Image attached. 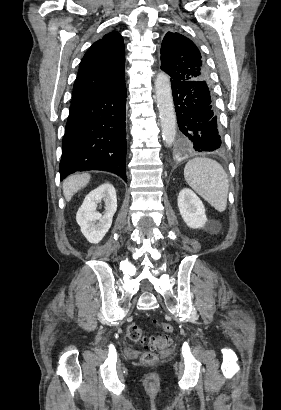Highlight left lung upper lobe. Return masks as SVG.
Here are the masks:
<instances>
[{
	"label": "left lung upper lobe",
	"mask_w": 281,
	"mask_h": 410,
	"mask_svg": "<svg viewBox=\"0 0 281 410\" xmlns=\"http://www.w3.org/2000/svg\"><path fill=\"white\" fill-rule=\"evenodd\" d=\"M161 69L171 81H205L209 74L196 45L176 32L166 33L161 46Z\"/></svg>",
	"instance_id": "1"
}]
</instances>
